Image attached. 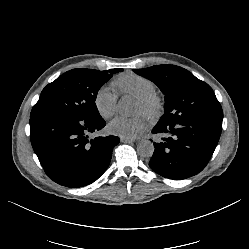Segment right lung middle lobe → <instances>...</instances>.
Returning <instances> with one entry per match:
<instances>
[{"instance_id":"1","label":"right lung middle lobe","mask_w":249,"mask_h":249,"mask_svg":"<svg viewBox=\"0 0 249 249\" xmlns=\"http://www.w3.org/2000/svg\"><path fill=\"white\" fill-rule=\"evenodd\" d=\"M121 71L123 69L80 68L62 74L43 89L30 118L45 114H67L93 120L102 118L95 104L98 90L114 73Z\"/></svg>"}]
</instances>
